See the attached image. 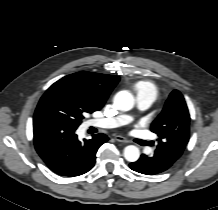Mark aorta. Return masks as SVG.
<instances>
[{
  "label": "aorta",
  "instance_id": "762f6f07",
  "mask_svg": "<svg viewBox=\"0 0 218 210\" xmlns=\"http://www.w3.org/2000/svg\"><path fill=\"white\" fill-rule=\"evenodd\" d=\"M114 106L120 111H129L134 106L133 95L124 90L118 92L114 97ZM140 157L139 149L134 145H129L124 148V158L129 162H135Z\"/></svg>",
  "mask_w": 218,
  "mask_h": 210
}]
</instances>
